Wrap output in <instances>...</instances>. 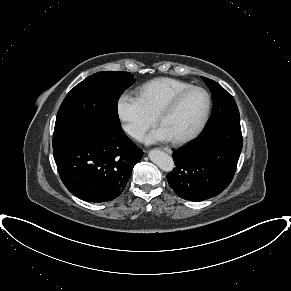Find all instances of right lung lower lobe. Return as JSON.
I'll return each instance as SVG.
<instances>
[{
  "label": "right lung lower lobe",
  "mask_w": 291,
  "mask_h": 291,
  "mask_svg": "<svg viewBox=\"0 0 291 291\" xmlns=\"http://www.w3.org/2000/svg\"><path fill=\"white\" fill-rule=\"evenodd\" d=\"M60 178L76 197L106 202L124 190L143 151L123 132H86L54 148Z\"/></svg>",
  "instance_id": "98d812e1"
}]
</instances>
